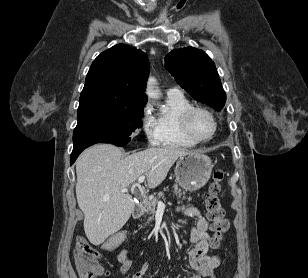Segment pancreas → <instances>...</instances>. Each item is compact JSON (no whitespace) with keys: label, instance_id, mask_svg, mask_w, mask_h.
Wrapping results in <instances>:
<instances>
[{"label":"pancreas","instance_id":"1","mask_svg":"<svg viewBox=\"0 0 308 278\" xmlns=\"http://www.w3.org/2000/svg\"><path fill=\"white\" fill-rule=\"evenodd\" d=\"M165 190V189H164ZM174 193L176 194V196L178 197V199L181 198L182 195H184L185 193L181 191V189H179L178 185L175 184L174 185ZM163 196V192H159L158 193V197H162ZM180 202V201H179ZM178 202V203H179ZM158 204V199L157 198H153L152 200H146L144 201L143 205L146 208V211L151 214L154 215L156 212V206ZM150 220L152 219V217L149 218Z\"/></svg>","mask_w":308,"mask_h":278}]
</instances>
